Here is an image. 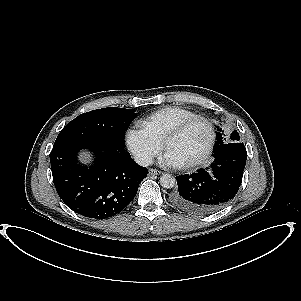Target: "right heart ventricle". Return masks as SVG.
<instances>
[{"label": "right heart ventricle", "mask_w": 301, "mask_h": 301, "mask_svg": "<svg viewBox=\"0 0 301 301\" xmlns=\"http://www.w3.org/2000/svg\"><path fill=\"white\" fill-rule=\"evenodd\" d=\"M194 116H196L194 112L184 108L166 107L145 118L142 126L152 137L161 142L176 125Z\"/></svg>", "instance_id": "1"}]
</instances>
